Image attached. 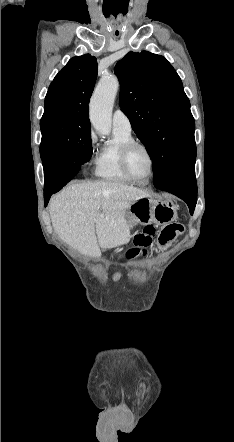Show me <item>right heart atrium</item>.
I'll return each mask as SVG.
<instances>
[{
    "label": "right heart atrium",
    "instance_id": "1",
    "mask_svg": "<svg viewBox=\"0 0 234 442\" xmlns=\"http://www.w3.org/2000/svg\"><path fill=\"white\" fill-rule=\"evenodd\" d=\"M90 146L93 152L96 150V136L92 133L90 135Z\"/></svg>",
    "mask_w": 234,
    "mask_h": 442
}]
</instances>
